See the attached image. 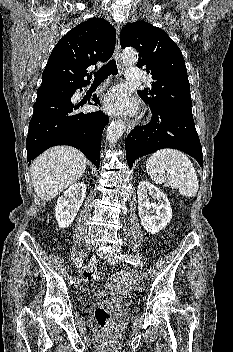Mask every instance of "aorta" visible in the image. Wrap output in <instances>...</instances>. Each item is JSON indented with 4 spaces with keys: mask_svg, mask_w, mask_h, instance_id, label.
I'll list each match as a JSON object with an SVG mask.
<instances>
[{
    "mask_svg": "<svg viewBox=\"0 0 233 352\" xmlns=\"http://www.w3.org/2000/svg\"><path fill=\"white\" fill-rule=\"evenodd\" d=\"M122 59L125 62L135 63L138 60V54L133 49H126L122 54ZM125 129L126 125L122 120H117L109 125L106 133V139L110 146H114L117 143Z\"/></svg>",
    "mask_w": 233,
    "mask_h": 352,
    "instance_id": "obj_1",
    "label": "aorta"
}]
</instances>
